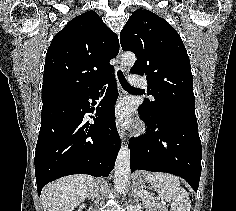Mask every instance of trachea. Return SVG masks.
Returning <instances> with one entry per match:
<instances>
[{
  "label": "trachea",
  "instance_id": "3493384b",
  "mask_svg": "<svg viewBox=\"0 0 236 211\" xmlns=\"http://www.w3.org/2000/svg\"><path fill=\"white\" fill-rule=\"evenodd\" d=\"M118 78H119V81H120V83H121V85H122V87H123L124 89H126V90H134V89H136V88L132 87V86L128 83V81L125 79V77H124L122 71H120V70L118 71Z\"/></svg>",
  "mask_w": 236,
  "mask_h": 211
}]
</instances>
